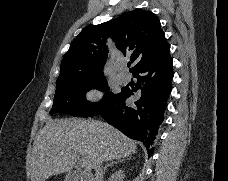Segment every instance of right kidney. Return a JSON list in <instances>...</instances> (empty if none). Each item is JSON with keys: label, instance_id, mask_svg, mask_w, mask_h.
Masks as SVG:
<instances>
[{"label": "right kidney", "instance_id": "1", "mask_svg": "<svg viewBox=\"0 0 228 181\" xmlns=\"http://www.w3.org/2000/svg\"><path fill=\"white\" fill-rule=\"evenodd\" d=\"M125 177V171H116L113 173L112 177H110V181H123Z\"/></svg>", "mask_w": 228, "mask_h": 181}]
</instances>
